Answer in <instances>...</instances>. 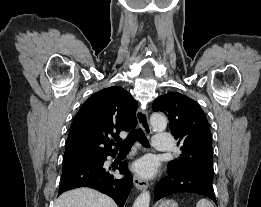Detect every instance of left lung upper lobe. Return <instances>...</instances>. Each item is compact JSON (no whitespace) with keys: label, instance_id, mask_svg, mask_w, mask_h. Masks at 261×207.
I'll return each mask as SVG.
<instances>
[{"label":"left lung upper lobe","instance_id":"5c2ea615","mask_svg":"<svg viewBox=\"0 0 261 207\" xmlns=\"http://www.w3.org/2000/svg\"><path fill=\"white\" fill-rule=\"evenodd\" d=\"M152 109L166 114L171 133L181 145L182 154L169 162L168 170L187 171L213 180L212 135L199 104L175 92L158 97Z\"/></svg>","mask_w":261,"mask_h":207}]
</instances>
